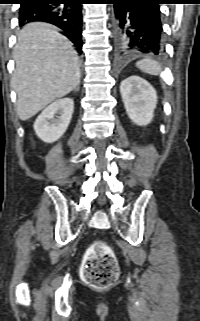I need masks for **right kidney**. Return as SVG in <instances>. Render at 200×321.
<instances>
[{
    "label": "right kidney",
    "instance_id": "right-kidney-1",
    "mask_svg": "<svg viewBox=\"0 0 200 321\" xmlns=\"http://www.w3.org/2000/svg\"><path fill=\"white\" fill-rule=\"evenodd\" d=\"M74 109L71 98L58 99L46 107L34 123L36 135L46 143L57 141L67 130Z\"/></svg>",
    "mask_w": 200,
    "mask_h": 321
}]
</instances>
